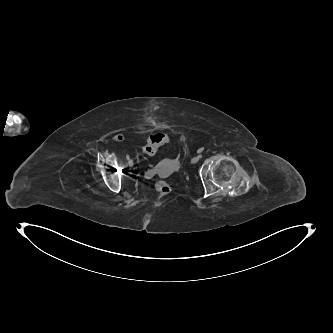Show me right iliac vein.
<instances>
[{"instance_id": "obj_1", "label": "right iliac vein", "mask_w": 333, "mask_h": 333, "mask_svg": "<svg viewBox=\"0 0 333 333\" xmlns=\"http://www.w3.org/2000/svg\"><path fill=\"white\" fill-rule=\"evenodd\" d=\"M128 165H129L130 167L133 166V160H132V159H130V160L128 161Z\"/></svg>"}]
</instances>
